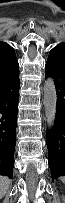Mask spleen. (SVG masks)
<instances>
[{"mask_svg": "<svg viewBox=\"0 0 65 203\" xmlns=\"http://www.w3.org/2000/svg\"><path fill=\"white\" fill-rule=\"evenodd\" d=\"M60 179H61L62 182L65 181V177L64 176H62Z\"/></svg>", "mask_w": 65, "mask_h": 203, "instance_id": "3e777b00", "label": "spleen"}]
</instances>
